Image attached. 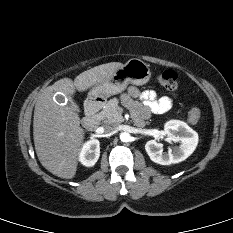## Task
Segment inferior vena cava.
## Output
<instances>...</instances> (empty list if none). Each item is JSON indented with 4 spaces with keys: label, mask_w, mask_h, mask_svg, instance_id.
Wrapping results in <instances>:
<instances>
[{
    "label": "inferior vena cava",
    "mask_w": 233,
    "mask_h": 233,
    "mask_svg": "<svg viewBox=\"0 0 233 233\" xmlns=\"http://www.w3.org/2000/svg\"><path fill=\"white\" fill-rule=\"evenodd\" d=\"M117 129V125L116 124H113V123H106L104 125V131L106 133H114Z\"/></svg>",
    "instance_id": "obj_1"
}]
</instances>
